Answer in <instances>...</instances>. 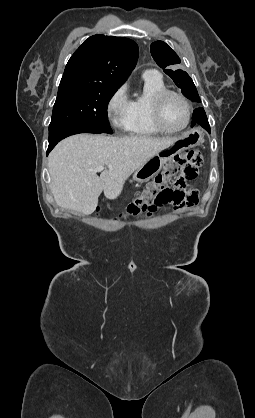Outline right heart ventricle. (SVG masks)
<instances>
[{
	"instance_id": "e07e8e85",
	"label": "right heart ventricle",
	"mask_w": 255,
	"mask_h": 418,
	"mask_svg": "<svg viewBox=\"0 0 255 418\" xmlns=\"http://www.w3.org/2000/svg\"><path fill=\"white\" fill-rule=\"evenodd\" d=\"M166 89L160 78H144L143 92L131 101V114L128 132L136 136H150L161 133L154 125L151 115L153 96Z\"/></svg>"
}]
</instances>
